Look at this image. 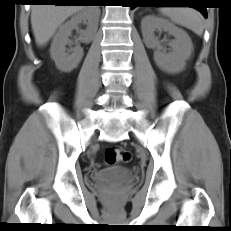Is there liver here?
Wrapping results in <instances>:
<instances>
[{
  "instance_id": "1",
  "label": "liver",
  "mask_w": 231,
  "mask_h": 231,
  "mask_svg": "<svg viewBox=\"0 0 231 231\" xmlns=\"http://www.w3.org/2000/svg\"><path fill=\"white\" fill-rule=\"evenodd\" d=\"M85 8L80 5H34L31 25L37 45L44 46L67 18Z\"/></svg>"
}]
</instances>
